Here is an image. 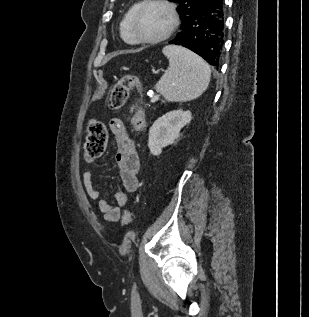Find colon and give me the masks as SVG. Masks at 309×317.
I'll return each instance as SVG.
<instances>
[{
    "label": "colon",
    "instance_id": "1",
    "mask_svg": "<svg viewBox=\"0 0 309 317\" xmlns=\"http://www.w3.org/2000/svg\"><path fill=\"white\" fill-rule=\"evenodd\" d=\"M139 79L132 74L124 75L113 87L110 97L109 106L112 109L121 108L127 101L129 93L132 89H140ZM134 124L136 128L141 129L144 126V111L139 108ZM108 140L107 129L104 123L98 120H92L87 128V137L85 142V158L87 161H93L105 151ZM123 221L126 225L132 221L131 213L126 210L123 214Z\"/></svg>",
    "mask_w": 309,
    "mask_h": 317
}]
</instances>
